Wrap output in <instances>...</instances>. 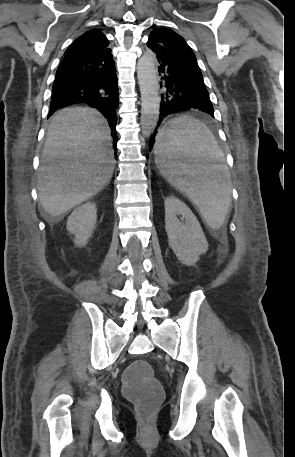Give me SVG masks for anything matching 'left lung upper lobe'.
<instances>
[{
    "mask_svg": "<svg viewBox=\"0 0 295 457\" xmlns=\"http://www.w3.org/2000/svg\"><path fill=\"white\" fill-rule=\"evenodd\" d=\"M148 40L157 42L176 55L197 64L196 56L192 49L184 38L173 30L165 28L154 29Z\"/></svg>",
    "mask_w": 295,
    "mask_h": 457,
    "instance_id": "left-lung-upper-lobe-1",
    "label": "left lung upper lobe"
}]
</instances>
